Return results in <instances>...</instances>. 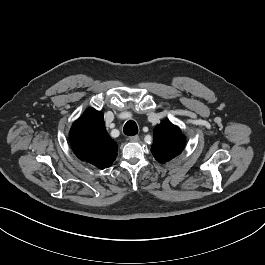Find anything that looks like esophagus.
Wrapping results in <instances>:
<instances>
[{
  "instance_id": "34e87169",
  "label": "esophagus",
  "mask_w": 265,
  "mask_h": 265,
  "mask_svg": "<svg viewBox=\"0 0 265 265\" xmlns=\"http://www.w3.org/2000/svg\"><path fill=\"white\" fill-rule=\"evenodd\" d=\"M129 139L131 142H137V141H139V136H137V135L131 136Z\"/></svg>"
}]
</instances>
